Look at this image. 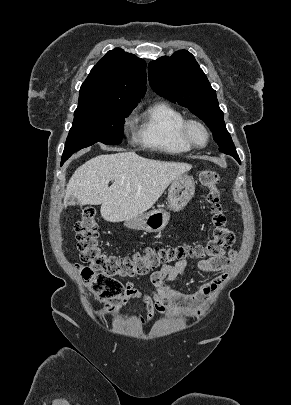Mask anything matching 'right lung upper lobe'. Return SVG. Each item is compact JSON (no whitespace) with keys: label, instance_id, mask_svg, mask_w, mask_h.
Instances as JSON below:
<instances>
[{"label":"right lung upper lobe","instance_id":"1","mask_svg":"<svg viewBox=\"0 0 291 405\" xmlns=\"http://www.w3.org/2000/svg\"><path fill=\"white\" fill-rule=\"evenodd\" d=\"M146 62L115 48L99 60L83 82L78 107L110 104L136 107L146 92Z\"/></svg>","mask_w":291,"mask_h":405}]
</instances>
